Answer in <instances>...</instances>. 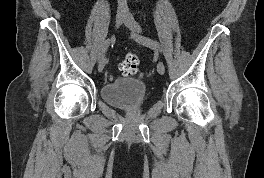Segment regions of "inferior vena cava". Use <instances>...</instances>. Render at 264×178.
Returning <instances> with one entry per match:
<instances>
[{"mask_svg":"<svg viewBox=\"0 0 264 178\" xmlns=\"http://www.w3.org/2000/svg\"><path fill=\"white\" fill-rule=\"evenodd\" d=\"M118 12L120 13H128V5L127 0H118Z\"/></svg>","mask_w":264,"mask_h":178,"instance_id":"obj_1","label":"inferior vena cava"}]
</instances>
